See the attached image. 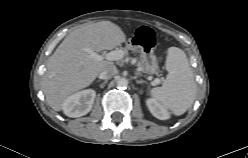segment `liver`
<instances>
[{"instance_id": "obj_1", "label": "liver", "mask_w": 248, "mask_h": 158, "mask_svg": "<svg viewBox=\"0 0 248 158\" xmlns=\"http://www.w3.org/2000/svg\"><path fill=\"white\" fill-rule=\"evenodd\" d=\"M126 41L119 26L110 21L82 25L70 32L49 58L42 78L48 105L55 111L75 92L89 86L113 62L91 58L86 49L97 53L111 50Z\"/></svg>"}]
</instances>
